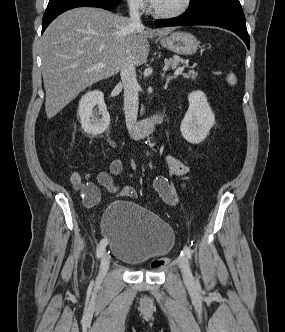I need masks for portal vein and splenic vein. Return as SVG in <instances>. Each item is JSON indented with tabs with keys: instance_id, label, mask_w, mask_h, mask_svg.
Wrapping results in <instances>:
<instances>
[{
	"instance_id": "obj_1",
	"label": "portal vein and splenic vein",
	"mask_w": 285,
	"mask_h": 332,
	"mask_svg": "<svg viewBox=\"0 0 285 332\" xmlns=\"http://www.w3.org/2000/svg\"><path fill=\"white\" fill-rule=\"evenodd\" d=\"M103 67H105L104 63H98L96 65V68H103ZM183 71H184V67H179L175 70L174 75H176V76L180 75Z\"/></svg>"
}]
</instances>
